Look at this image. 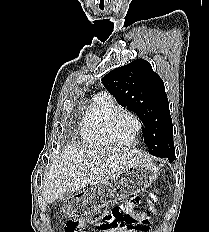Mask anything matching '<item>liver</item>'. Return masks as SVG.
<instances>
[{
	"label": "liver",
	"instance_id": "6515ba94",
	"mask_svg": "<svg viewBox=\"0 0 209 232\" xmlns=\"http://www.w3.org/2000/svg\"><path fill=\"white\" fill-rule=\"evenodd\" d=\"M148 160L147 155L137 149L68 146L49 167L44 181V199L51 204L65 193L77 192L87 185L107 183Z\"/></svg>",
	"mask_w": 209,
	"mask_h": 232
}]
</instances>
